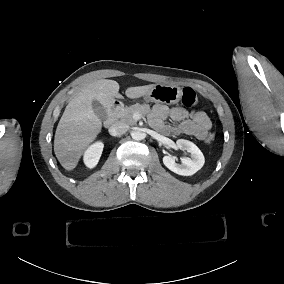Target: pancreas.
I'll list each match as a JSON object with an SVG mask.
<instances>
[{"label": "pancreas", "mask_w": 284, "mask_h": 284, "mask_svg": "<svg viewBox=\"0 0 284 284\" xmlns=\"http://www.w3.org/2000/svg\"><path fill=\"white\" fill-rule=\"evenodd\" d=\"M150 112H151L150 105L138 104L120 110L118 113V117L126 124L135 125L136 121L132 118V115L134 113H139L141 117H146L150 114Z\"/></svg>", "instance_id": "1"}]
</instances>
